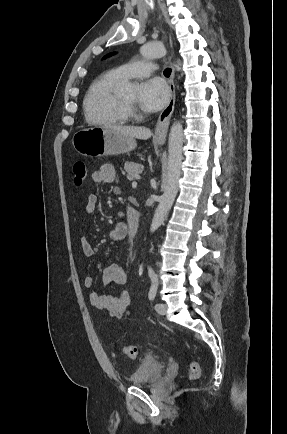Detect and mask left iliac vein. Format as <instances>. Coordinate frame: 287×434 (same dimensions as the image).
Wrapping results in <instances>:
<instances>
[{
  "label": "left iliac vein",
  "instance_id": "1",
  "mask_svg": "<svg viewBox=\"0 0 287 434\" xmlns=\"http://www.w3.org/2000/svg\"><path fill=\"white\" fill-rule=\"evenodd\" d=\"M155 308L157 313L160 315H165L167 312V306L164 303H157Z\"/></svg>",
  "mask_w": 287,
  "mask_h": 434
}]
</instances>
